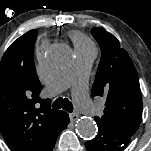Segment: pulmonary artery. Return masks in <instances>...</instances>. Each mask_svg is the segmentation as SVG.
I'll return each instance as SVG.
<instances>
[{"mask_svg":"<svg viewBox=\"0 0 151 151\" xmlns=\"http://www.w3.org/2000/svg\"><path fill=\"white\" fill-rule=\"evenodd\" d=\"M75 52L76 60L73 66L60 79L52 82L48 90L52 93H58L71 85L79 107L93 116L99 113V107L88 96L87 81L97 51L94 47H88L75 48Z\"/></svg>","mask_w":151,"mask_h":151,"instance_id":"e3ab8cb5","label":"pulmonary artery"}]
</instances>
